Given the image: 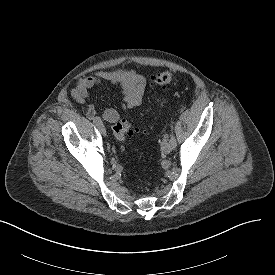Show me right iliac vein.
<instances>
[{
	"label": "right iliac vein",
	"mask_w": 275,
	"mask_h": 275,
	"mask_svg": "<svg viewBox=\"0 0 275 275\" xmlns=\"http://www.w3.org/2000/svg\"><path fill=\"white\" fill-rule=\"evenodd\" d=\"M97 126H98V129H99L100 133L105 136L106 135V128L103 125V123L101 122Z\"/></svg>",
	"instance_id": "obj_1"
}]
</instances>
